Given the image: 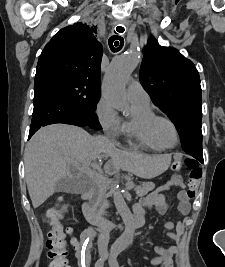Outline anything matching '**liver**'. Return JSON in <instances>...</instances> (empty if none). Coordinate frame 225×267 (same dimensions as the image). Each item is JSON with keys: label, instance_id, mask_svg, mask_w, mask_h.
Listing matches in <instances>:
<instances>
[{"label": "liver", "instance_id": "liver-1", "mask_svg": "<svg viewBox=\"0 0 225 267\" xmlns=\"http://www.w3.org/2000/svg\"><path fill=\"white\" fill-rule=\"evenodd\" d=\"M110 157V168H121L145 177L144 164L151 158L136 153L124 152L112 143L96 140L82 128L68 124H51L40 128L31 138L24 154L25 178L28 193L34 208L42 205L55 191L56 183L72 176V168H78L66 159H73L87 171L90 167L101 171L102 159ZM82 172V171H80ZM85 173L87 176V172ZM101 174L89 176L95 180ZM105 178L104 176H102Z\"/></svg>", "mask_w": 225, "mask_h": 267}]
</instances>
